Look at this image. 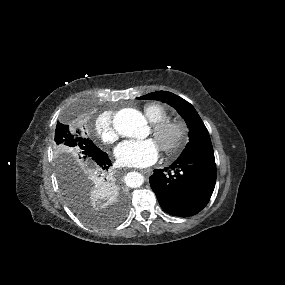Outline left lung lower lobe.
<instances>
[{
	"label": "left lung lower lobe",
	"mask_w": 285,
	"mask_h": 285,
	"mask_svg": "<svg viewBox=\"0 0 285 285\" xmlns=\"http://www.w3.org/2000/svg\"><path fill=\"white\" fill-rule=\"evenodd\" d=\"M169 168L156 169L150 176L151 188L161 207L174 216L197 214L207 205L215 187L213 149L181 156Z\"/></svg>",
	"instance_id": "0a47b994"
}]
</instances>
